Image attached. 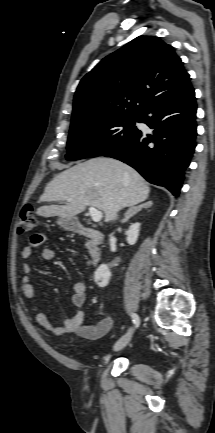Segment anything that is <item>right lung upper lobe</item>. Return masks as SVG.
Returning a JSON list of instances; mask_svg holds the SVG:
<instances>
[{"label": "right lung upper lobe", "mask_w": 215, "mask_h": 433, "mask_svg": "<svg viewBox=\"0 0 215 433\" xmlns=\"http://www.w3.org/2000/svg\"><path fill=\"white\" fill-rule=\"evenodd\" d=\"M190 82L172 46L139 36L102 59L81 80L71 125L142 116L156 101Z\"/></svg>", "instance_id": "cb5924a9"}]
</instances>
